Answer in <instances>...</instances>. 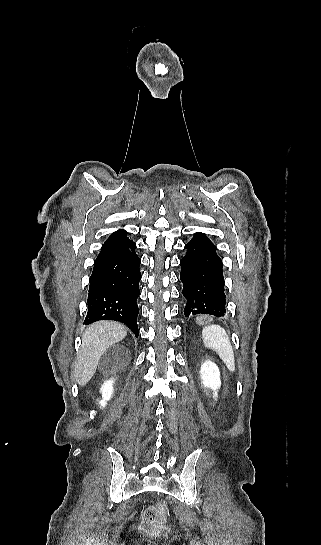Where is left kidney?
I'll return each instance as SVG.
<instances>
[{"label":"left kidney","instance_id":"left-kidney-1","mask_svg":"<svg viewBox=\"0 0 321 545\" xmlns=\"http://www.w3.org/2000/svg\"><path fill=\"white\" fill-rule=\"evenodd\" d=\"M200 375L204 387L213 389L214 397H217V389L221 387L220 371L212 361H205L200 369Z\"/></svg>","mask_w":321,"mask_h":545}]
</instances>
